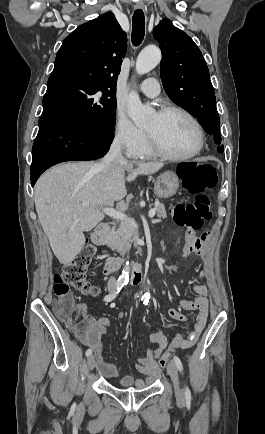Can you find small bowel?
Masks as SVG:
<instances>
[{
    "label": "small bowel",
    "instance_id": "small-bowel-1",
    "mask_svg": "<svg viewBox=\"0 0 265 434\" xmlns=\"http://www.w3.org/2000/svg\"><path fill=\"white\" fill-rule=\"evenodd\" d=\"M206 237V233L199 237L196 236L192 230H188L181 257L186 259L193 255H200ZM190 285L195 295L191 299L180 300L179 306L185 311H196L197 313L195 315L192 331L189 335L185 336L186 342L182 349H189L196 343L205 327L209 313L208 287L198 282H191ZM75 308L82 313L81 325L75 327L76 334L85 346L92 349L96 356H99L102 353L100 349L102 338L110 327V320L107 317L95 319L89 314L88 308L85 305H77ZM168 314L176 321L184 322L189 319L187 314L174 308H170ZM119 315L122 316L123 314L120 313ZM150 339L156 342L158 347L156 349H148L145 355L138 360V371L148 376L147 378H139L136 381L139 387H149L150 383L156 382L159 377L156 359L169 346L168 340L161 328H158L157 331L151 335ZM98 362H101V359H98ZM122 385H130V380H122Z\"/></svg>",
    "mask_w": 265,
    "mask_h": 434
}]
</instances>
